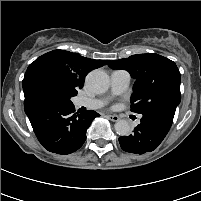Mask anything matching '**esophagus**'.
<instances>
[{"instance_id":"obj_1","label":"esophagus","mask_w":201,"mask_h":201,"mask_svg":"<svg viewBox=\"0 0 201 201\" xmlns=\"http://www.w3.org/2000/svg\"><path fill=\"white\" fill-rule=\"evenodd\" d=\"M107 118L109 120L113 121V122H117V121L120 120L119 116H117V115H111V114L107 115Z\"/></svg>"}]
</instances>
